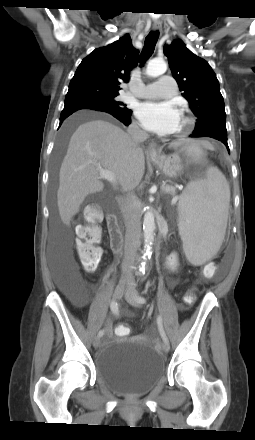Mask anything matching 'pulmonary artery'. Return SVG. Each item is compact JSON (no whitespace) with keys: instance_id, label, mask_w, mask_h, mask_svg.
Instances as JSON below:
<instances>
[{"instance_id":"1","label":"pulmonary artery","mask_w":255,"mask_h":440,"mask_svg":"<svg viewBox=\"0 0 255 440\" xmlns=\"http://www.w3.org/2000/svg\"><path fill=\"white\" fill-rule=\"evenodd\" d=\"M176 94V82L169 75H162L157 82L139 90H131L130 95L145 99L169 98Z\"/></svg>"}]
</instances>
